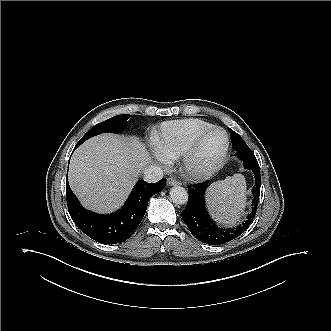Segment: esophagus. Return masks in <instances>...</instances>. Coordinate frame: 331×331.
<instances>
[{
  "instance_id": "1",
  "label": "esophagus",
  "mask_w": 331,
  "mask_h": 331,
  "mask_svg": "<svg viewBox=\"0 0 331 331\" xmlns=\"http://www.w3.org/2000/svg\"><path fill=\"white\" fill-rule=\"evenodd\" d=\"M179 184H180V182L177 179L173 178V177H170V178L167 179V185L168 186L179 185Z\"/></svg>"
}]
</instances>
